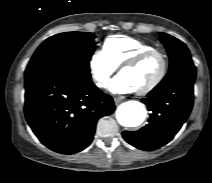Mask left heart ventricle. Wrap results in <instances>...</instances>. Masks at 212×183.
Segmentation results:
<instances>
[{"instance_id":"obj_1","label":"left heart ventricle","mask_w":212,"mask_h":183,"mask_svg":"<svg viewBox=\"0 0 212 183\" xmlns=\"http://www.w3.org/2000/svg\"><path fill=\"white\" fill-rule=\"evenodd\" d=\"M161 59L159 56H151L136 67L124 70L123 75L135 90L149 85L159 74Z\"/></svg>"}]
</instances>
